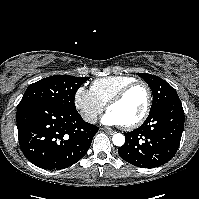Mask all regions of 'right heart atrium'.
I'll return each instance as SVG.
<instances>
[{"instance_id":"1","label":"right heart atrium","mask_w":199,"mask_h":199,"mask_svg":"<svg viewBox=\"0 0 199 199\" xmlns=\"http://www.w3.org/2000/svg\"><path fill=\"white\" fill-rule=\"evenodd\" d=\"M74 102L84 120L89 123H94L104 110V105L84 86L77 89Z\"/></svg>"}]
</instances>
